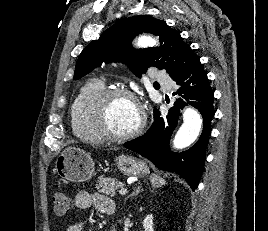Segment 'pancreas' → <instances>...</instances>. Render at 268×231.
Masks as SVG:
<instances>
[{
	"instance_id": "pancreas-1",
	"label": "pancreas",
	"mask_w": 268,
	"mask_h": 231,
	"mask_svg": "<svg viewBox=\"0 0 268 231\" xmlns=\"http://www.w3.org/2000/svg\"><path fill=\"white\" fill-rule=\"evenodd\" d=\"M124 184L115 178H100L97 181L96 189L106 195L115 196L119 188H123Z\"/></svg>"
}]
</instances>
